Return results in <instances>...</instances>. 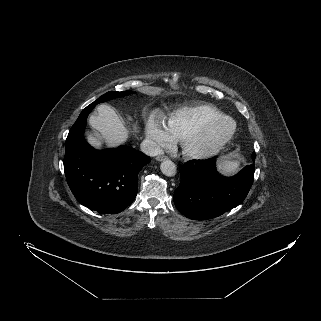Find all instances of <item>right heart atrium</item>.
Wrapping results in <instances>:
<instances>
[{"label":"right heart atrium","instance_id":"right-heart-atrium-1","mask_svg":"<svg viewBox=\"0 0 321 321\" xmlns=\"http://www.w3.org/2000/svg\"><path fill=\"white\" fill-rule=\"evenodd\" d=\"M145 135L146 141L153 151L168 148L174 143V138L157 117L148 120Z\"/></svg>","mask_w":321,"mask_h":321}]
</instances>
